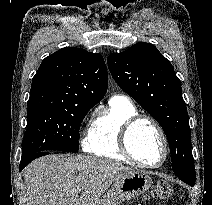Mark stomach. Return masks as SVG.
<instances>
[{
	"mask_svg": "<svg viewBox=\"0 0 212 205\" xmlns=\"http://www.w3.org/2000/svg\"><path fill=\"white\" fill-rule=\"evenodd\" d=\"M152 184L144 172L133 171L116 180L97 205H119L145 193Z\"/></svg>",
	"mask_w": 212,
	"mask_h": 205,
	"instance_id": "stomach-1",
	"label": "stomach"
}]
</instances>
